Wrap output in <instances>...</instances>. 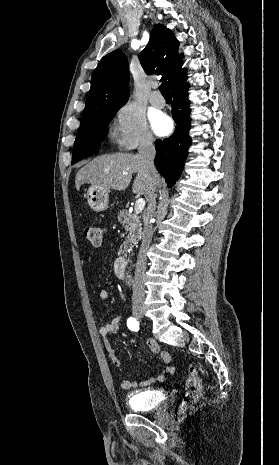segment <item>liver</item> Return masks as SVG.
Listing matches in <instances>:
<instances>
[{
    "mask_svg": "<svg viewBox=\"0 0 279 465\" xmlns=\"http://www.w3.org/2000/svg\"><path fill=\"white\" fill-rule=\"evenodd\" d=\"M133 173H137L132 187L133 193L147 197L150 190L149 174L139 154L114 153L97 156L77 172L75 186L77 190L83 184H91L123 191L129 186ZM155 183L156 189L161 186V177L157 172Z\"/></svg>",
    "mask_w": 279,
    "mask_h": 465,
    "instance_id": "1",
    "label": "liver"
}]
</instances>
